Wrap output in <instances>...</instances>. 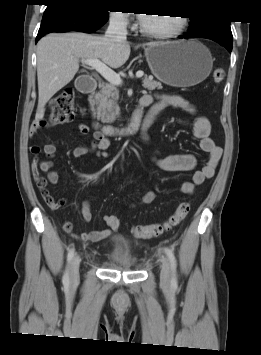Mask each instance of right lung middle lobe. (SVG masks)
Here are the masks:
<instances>
[{
	"mask_svg": "<svg viewBox=\"0 0 261 355\" xmlns=\"http://www.w3.org/2000/svg\"><path fill=\"white\" fill-rule=\"evenodd\" d=\"M76 4L80 5L81 7L87 9L95 16L107 17L108 13L107 10L102 8L97 0H84L81 2H77Z\"/></svg>",
	"mask_w": 261,
	"mask_h": 355,
	"instance_id": "right-lung-middle-lobe-1",
	"label": "right lung middle lobe"
}]
</instances>
